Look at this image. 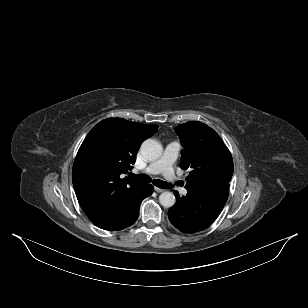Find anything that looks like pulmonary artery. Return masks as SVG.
<instances>
[{
  "label": "pulmonary artery",
  "instance_id": "1",
  "mask_svg": "<svg viewBox=\"0 0 308 308\" xmlns=\"http://www.w3.org/2000/svg\"><path fill=\"white\" fill-rule=\"evenodd\" d=\"M180 150V144L178 142H170L166 145L162 156L155 162L151 163L144 169V173L158 174L161 173L168 180V182L178 188L182 195L187 194V189L179 187L177 184V177L175 175L173 164L177 159Z\"/></svg>",
  "mask_w": 308,
  "mask_h": 308
}]
</instances>
